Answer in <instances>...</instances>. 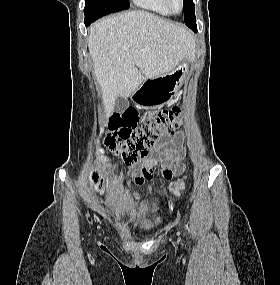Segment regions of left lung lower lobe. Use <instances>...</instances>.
Listing matches in <instances>:
<instances>
[{
  "mask_svg": "<svg viewBox=\"0 0 280 285\" xmlns=\"http://www.w3.org/2000/svg\"><path fill=\"white\" fill-rule=\"evenodd\" d=\"M191 29H192L193 31H197V28H195V27H191Z\"/></svg>",
  "mask_w": 280,
  "mask_h": 285,
  "instance_id": "1",
  "label": "left lung lower lobe"
}]
</instances>
